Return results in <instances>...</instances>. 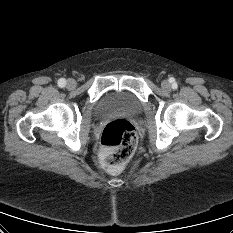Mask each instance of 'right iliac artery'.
Segmentation results:
<instances>
[{
    "mask_svg": "<svg viewBox=\"0 0 233 233\" xmlns=\"http://www.w3.org/2000/svg\"><path fill=\"white\" fill-rule=\"evenodd\" d=\"M65 85H66V80L64 78H60L58 80V86L63 88V87H65Z\"/></svg>",
    "mask_w": 233,
    "mask_h": 233,
    "instance_id": "82829eb1",
    "label": "right iliac artery"
}]
</instances>
